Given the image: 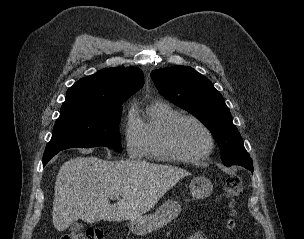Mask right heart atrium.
<instances>
[{
  "label": "right heart atrium",
  "mask_w": 304,
  "mask_h": 239,
  "mask_svg": "<svg viewBox=\"0 0 304 239\" xmlns=\"http://www.w3.org/2000/svg\"><path fill=\"white\" fill-rule=\"evenodd\" d=\"M123 136L126 150L130 156H140L143 150V142L139 120L133 109H130L125 117Z\"/></svg>",
  "instance_id": "1"
}]
</instances>
